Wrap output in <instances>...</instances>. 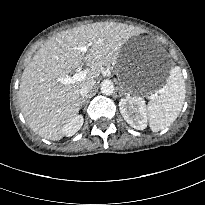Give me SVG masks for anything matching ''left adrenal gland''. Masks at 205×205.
I'll return each instance as SVG.
<instances>
[{
	"label": "left adrenal gland",
	"mask_w": 205,
	"mask_h": 205,
	"mask_svg": "<svg viewBox=\"0 0 205 205\" xmlns=\"http://www.w3.org/2000/svg\"><path fill=\"white\" fill-rule=\"evenodd\" d=\"M122 95H126V93H125L123 87L120 86V88H119V96H122Z\"/></svg>",
	"instance_id": "left-adrenal-gland-1"
}]
</instances>
